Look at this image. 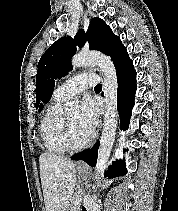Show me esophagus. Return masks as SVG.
Instances as JSON below:
<instances>
[{"label": "esophagus", "instance_id": "obj_1", "mask_svg": "<svg viewBox=\"0 0 178 211\" xmlns=\"http://www.w3.org/2000/svg\"><path fill=\"white\" fill-rule=\"evenodd\" d=\"M87 165L83 162V161H79L78 163H77V167L78 168H83V167H86Z\"/></svg>", "mask_w": 178, "mask_h": 211}]
</instances>
